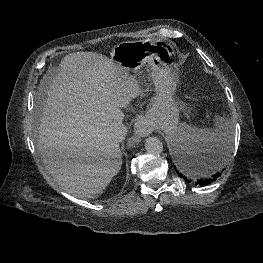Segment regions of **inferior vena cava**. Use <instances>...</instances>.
<instances>
[{"label":"inferior vena cava","mask_w":263,"mask_h":263,"mask_svg":"<svg viewBox=\"0 0 263 263\" xmlns=\"http://www.w3.org/2000/svg\"><path fill=\"white\" fill-rule=\"evenodd\" d=\"M127 135V127L122 122H114L111 125V138L116 142H121Z\"/></svg>","instance_id":"602c4592"}]
</instances>
